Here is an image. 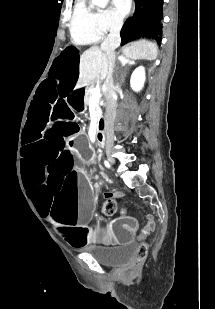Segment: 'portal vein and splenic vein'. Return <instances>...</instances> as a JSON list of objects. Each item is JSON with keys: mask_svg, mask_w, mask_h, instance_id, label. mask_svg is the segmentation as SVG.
Segmentation results:
<instances>
[{"mask_svg": "<svg viewBox=\"0 0 215 309\" xmlns=\"http://www.w3.org/2000/svg\"><path fill=\"white\" fill-rule=\"evenodd\" d=\"M92 96H100V88H99V86H96V88H93Z\"/></svg>", "mask_w": 215, "mask_h": 309, "instance_id": "obj_1", "label": "portal vein and splenic vein"}]
</instances>
